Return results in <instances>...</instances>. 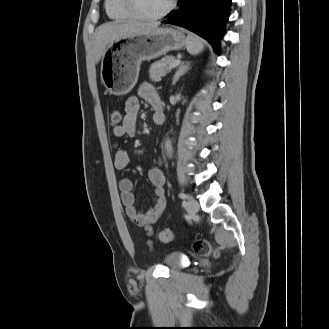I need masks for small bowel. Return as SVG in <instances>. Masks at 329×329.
Listing matches in <instances>:
<instances>
[{"instance_id": "c3829d8e", "label": "small bowel", "mask_w": 329, "mask_h": 329, "mask_svg": "<svg viewBox=\"0 0 329 329\" xmlns=\"http://www.w3.org/2000/svg\"><path fill=\"white\" fill-rule=\"evenodd\" d=\"M140 98L146 101L154 109L162 106L161 98L157 91L149 84H143L138 92V96H130L124 107L123 122L119 126H113L112 132L116 139L129 136L133 137L137 131V117L140 110ZM114 165L118 170L125 169L129 164L127 152L114 145ZM148 178L154 187L155 204L146 212H140L135 204L133 192V182L130 178L123 177L119 180V190L121 202L125 207L127 217L138 227L142 228L147 236L152 235V227L164 212L166 207L165 176L159 165L153 166L148 171ZM148 244L152 242L149 240Z\"/></svg>"}]
</instances>
